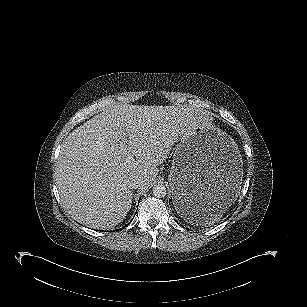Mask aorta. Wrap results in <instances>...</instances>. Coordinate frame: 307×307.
I'll return each mask as SVG.
<instances>
[{"instance_id": "762f6f07", "label": "aorta", "mask_w": 307, "mask_h": 307, "mask_svg": "<svg viewBox=\"0 0 307 307\" xmlns=\"http://www.w3.org/2000/svg\"><path fill=\"white\" fill-rule=\"evenodd\" d=\"M153 195L156 198H163L167 194L166 187L164 185H155L152 189Z\"/></svg>"}]
</instances>
